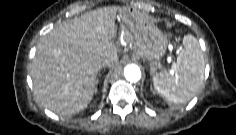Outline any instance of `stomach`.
Returning a JSON list of instances; mask_svg holds the SVG:
<instances>
[{"mask_svg": "<svg viewBox=\"0 0 236 135\" xmlns=\"http://www.w3.org/2000/svg\"><path fill=\"white\" fill-rule=\"evenodd\" d=\"M119 18L127 24L133 21V11L127 8L119 11ZM128 31V29L126 28ZM168 46L167 37L154 26H148L140 33L138 46L133 52L134 58L147 60L150 65L151 75L156 76L161 70V59L164 57Z\"/></svg>", "mask_w": 236, "mask_h": 135, "instance_id": "obj_1", "label": "stomach"}]
</instances>
